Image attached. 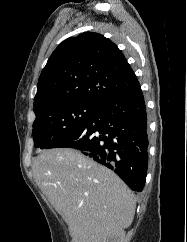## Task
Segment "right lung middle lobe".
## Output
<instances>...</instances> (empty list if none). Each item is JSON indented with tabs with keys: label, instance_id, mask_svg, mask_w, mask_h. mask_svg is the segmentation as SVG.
Segmentation results:
<instances>
[{
	"label": "right lung middle lobe",
	"instance_id": "obj_1",
	"mask_svg": "<svg viewBox=\"0 0 187 242\" xmlns=\"http://www.w3.org/2000/svg\"><path fill=\"white\" fill-rule=\"evenodd\" d=\"M99 107L87 102H72L36 115L32 130L34 146L47 149L88 120Z\"/></svg>",
	"mask_w": 187,
	"mask_h": 242
}]
</instances>
